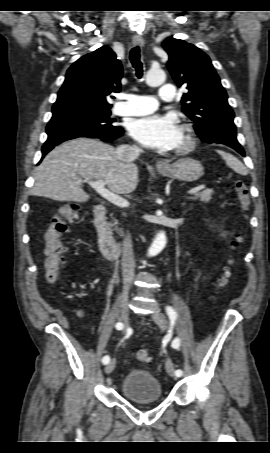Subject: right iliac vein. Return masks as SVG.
Returning a JSON list of instances; mask_svg holds the SVG:
<instances>
[{
	"instance_id": "right-iliac-vein-1",
	"label": "right iliac vein",
	"mask_w": 270,
	"mask_h": 453,
	"mask_svg": "<svg viewBox=\"0 0 270 453\" xmlns=\"http://www.w3.org/2000/svg\"><path fill=\"white\" fill-rule=\"evenodd\" d=\"M128 296H129V286L126 285L123 289L122 293V298H121V303H120V308H119V314H120V320L124 323V326H128ZM116 366V360L113 359L111 360L105 367V373L110 374Z\"/></svg>"
}]
</instances>
